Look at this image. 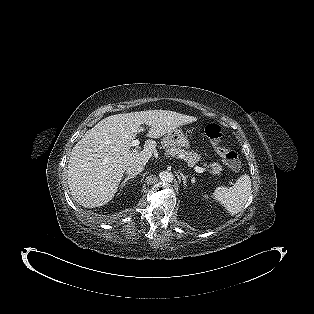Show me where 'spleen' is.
Returning <instances> with one entry per match:
<instances>
[{
    "label": "spleen",
    "instance_id": "3e777b00",
    "mask_svg": "<svg viewBox=\"0 0 314 314\" xmlns=\"http://www.w3.org/2000/svg\"><path fill=\"white\" fill-rule=\"evenodd\" d=\"M251 179L241 175L232 187H218L213 193L216 201L222 204L230 215L239 213L251 194Z\"/></svg>",
    "mask_w": 314,
    "mask_h": 314
}]
</instances>
